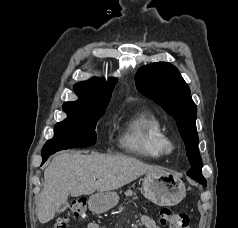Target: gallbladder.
I'll list each match as a JSON object with an SVG mask.
<instances>
[{
  "mask_svg": "<svg viewBox=\"0 0 238 228\" xmlns=\"http://www.w3.org/2000/svg\"><path fill=\"white\" fill-rule=\"evenodd\" d=\"M68 207V203H65V204H63V205H61L60 207H59V209L57 210V212H63L66 208Z\"/></svg>",
  "mask_w": 238,
  "mask_h": 228,
  "instance_id": "obj_1",
  "label": "gallbladder"
}]
</instances>
